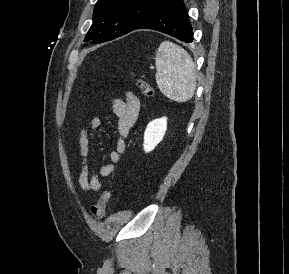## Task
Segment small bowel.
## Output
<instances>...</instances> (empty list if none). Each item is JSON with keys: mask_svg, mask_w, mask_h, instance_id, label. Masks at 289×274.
I'll return each instance as SVG.
<instances>
[{"mask_svg": "<svg viewBox=\"0 0 289 274\" xmlns=\"http://www.w3.org/2000/svg\"><path fill=\"white\" fill-rule=\"evenodd\" d=\"M111 104L113 112L117 117L118 138L115 150L110 153L111 164H103L100 166L99 173L103 177L111 176L116 172L117 164L121 161L122 155L126 151L125 140L140 112V101L132 92H127L124 98H112ZM85 111L86 107L83 108L78 119L83 118ZM100 125V119L94 116L80 129L79 133L78 143L80 147L81 173L78 181L80 187L85 191H98L103 186V183L98 179V177L91 172L89 163V136L94 135Z\"/></svg>", "mask_w": 289, "mask_h": 274, "instance_id": "obj_1", "label": "small bowel"}]
</instances>
